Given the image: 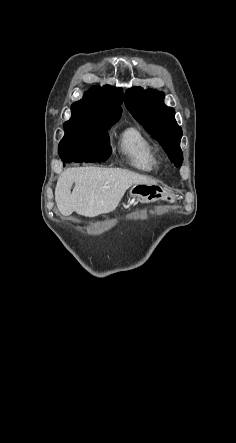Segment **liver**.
Returning <instances> with one entry per match:
<instances>
[{
    "mask_svg": "<svg viewBox=\"0 0 236 443\" xmlns=\"http://www.w3.org/2000/svg\"><path fill=\"white\" fill-rule=\"evenodd\" d=\"M136 184L155 185L156 182L120 168H69L58 178L55 201L64 216L76 212L94 217L115 210L126 190Z\"/></svg>",
    "mask_w": 236,
    "mask_h": 443,
    "instance_id": "obj_1",
    "label": "liver"
}]
</instances>
